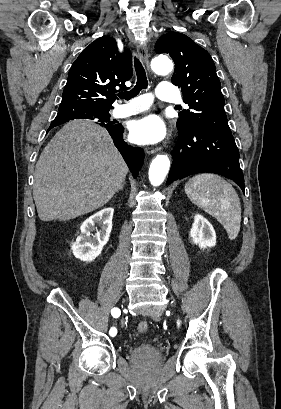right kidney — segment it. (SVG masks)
Returning <instances> with one entry per match:
<instances>
[{"label":"right kidney","instance_id":"ca27d5eb","mask_svg":"<svg viewBox=\"0 0 281 409\" xmlns=\"http://www.w3.org/2000/svg\"><path fill=\"white\" fill-rule=\"evenodd\" d=\"M114 209L112 207H106L102 211H98L95 215H91L89 219H86L80 227V235L77 237L75 243H72L71 251H73L76 259L81 261H87L91 263L98 255H100L104 245L109 241V235L112 231V217ZM96 223H103L101 231H97L95 235H92V231H95Z\"/></svg>","mask_w":281,"mask_h":409}]
</instances>
